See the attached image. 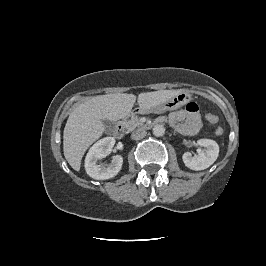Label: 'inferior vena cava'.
<instances>
[{
    "label": "inferior vena cava",
    "instance_id": "obj_1",
    "mask_svg": "<svg viewBox=\"0 0 266 266\" xmlns=\"http://www.w3.org/2000/svg\"><path fill=\"white\" fill-rule=\"evenodd\" d=\"M146 136V131L143 129H137L131 134L133 140H140Z\"/></svg>",
    "mask_w": 266,
    "mask_h": 266
}]
</instances>
